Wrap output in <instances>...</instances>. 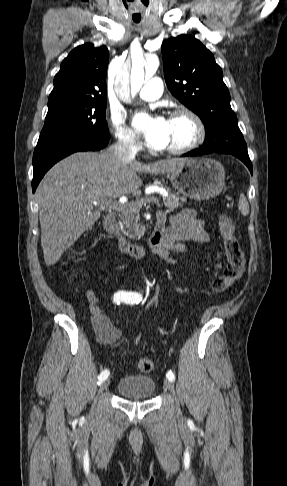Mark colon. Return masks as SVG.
I'll return each mask as SVG.
<instances>
[{
  "mask_svg": "<svg viewBox=\"0 0 287 486\" xmlns=\"http://www.w3.org/2000/svg\"><path fill=\"white\" fill-rule=\"evenodd\" d=\"M219 230L223 239L226 266L222 274L212 282V290L216 293L228 290L237 282L242 277L245 267L244 253L229 218H220ZM136 368L141 373H149L154 368V361L148 357L139 358L136 361Z\"/></svg>",
  "mask_w": 287,
  "mask_h": 486,
  "instance_id": "5ec220e1",
  "label": "colon"
}]
</instances>
